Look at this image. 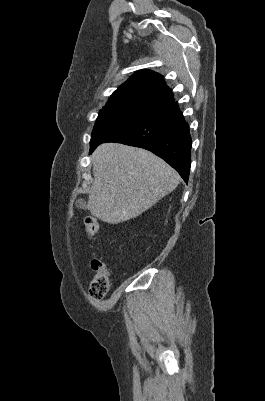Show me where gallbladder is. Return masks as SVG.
Instances as JSON below:
<instances>
[{
    "instance_id": "obj_1",
    "label": "gallbladder",
    "mask_w": 265,
    "mask_h": 401,
    "mask_svg": "<svg viewBox=\"0 0 265 401\" xmlns=\"http://www.w3.org/2000/svg\"><path fill=\"white\" fill-rule=\"evenodd\" d=\"M75 205L77 209H86V203L83 201V198H77Z\"/></svg>"
}]
</instances>
